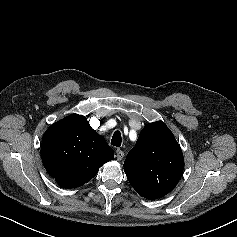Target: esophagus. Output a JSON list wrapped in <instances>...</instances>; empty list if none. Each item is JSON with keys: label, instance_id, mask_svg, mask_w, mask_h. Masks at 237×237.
<instances>
[{"label": "esophagus", "instance_id": "esophagus-1", "mask_svg": "<svg viewBox=\"0 0 237 237\" xmlns=\"http://www.w3.org/2000/svg\"><path fill=\"white\" fill-rule=\"evenodd\" d=\"M124 157V152L121 149L116 150V158L118 161L122 160Z\"/></svg>", "mask_w": 237, "mask_h": 237}]
</instances>
